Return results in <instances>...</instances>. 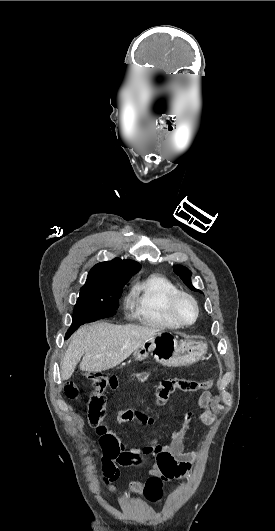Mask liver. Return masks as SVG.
I'll use <instances>...</instances> for the list:
<instances>
[{
	"instance_id": "1",
	"label": "liver",
	"mask_w": 275,
	"mask_h": 531,
	"mask_svg": "<svg viewBox=\"0 0 275 531\" xmlns=\"http://www.w3.org/2000/svg\"><path fill=\"white\" fill-rule=\"evenodd\" d=\"M161 329L152 325H110L93 323L83 325L71 337L62 361L61 379L68 381L80 363L81 371L98 373L120 365L134 353L146 339L159 335Z\"/></svg>"
}]
</instances>
